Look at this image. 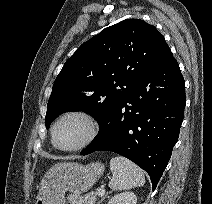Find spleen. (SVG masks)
Segmentation results:
<instances>
[{
	"instance_id": "spleen-1",
	"label": "spleen",
	"mask_w": 212,
	"mask_h": 204,
	"mask_svg": "<svg viewBox=\"0 0 212 204\" xmlns=\"http://www.w3.org/2000/svg\"><path fill=\"white\" fill-rule=\"evenodd\" d=\"M112 178L109 182L110 189L127 190L141 187L145 184L144 172L132 161L118 156L110 160Z\"/></svg>"
}]
</instances>
